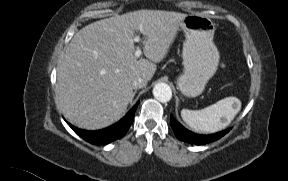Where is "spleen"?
<instances>
[{
    "mask_svg": "<svg viewBox=\"0 0 288 181\" xmlns=\"http://www.w3.org/2000/svg\"><path fill=\"white\" fill-rule=\"evenodd\" d=\"M241 101L226 97L201 110L183 109L181 116L192 129L202 133H213L226 128L241 110Z\"/></svg>",
    "mask_w": 288,
    "mask_h": 181,
    "instance_id": "spleen-1",
    "label": "spleen"
}]
</instances>
